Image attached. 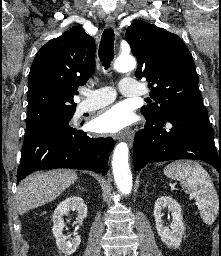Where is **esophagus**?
I'll use <instances>...</instances> for the list:
<instances>
[{
	"label": "esophagus",
	"mask_w": 221,
	"mask_h": 256,
	"mask_svg": "<svg viewBox=\"0 0 221 256\" xmlns=\"http://www.w3.org/2000/svg\"><path fill=\"white\" fill-rule=\"evenodd\" d=\"M107 28H113L115 26V19L112 16H108L105 20ZM118 139H127L130 144H132L134 139V131L133 130H126L125 132L119 133L116 136Z\"/></svg>",
	"instance_id": "34e87169"
}]
</instances>
